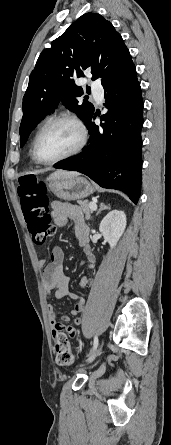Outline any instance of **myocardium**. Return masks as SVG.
Wrapping results in <instances>:
<instances>
[{"mask_svg": "<svg viewBox=\"0 0 171 445\" xmlns=\"http://www.w3.org/2000/svg\"><path fill=\"white\" fill-rule=\"evenodd\" d=\"M60 122H67V123L74 125L77 128L78 133H79V141H78L77 145L70 152H68L54 160H44L38 154L39 139H40L41 135L43 134V132L50 125L55 124V123H60ZM87 138H88L87 129H86L84 123L77 117L72 116V115H59V116L52 117L42 125V127L39 129V131L37 132V134L35 136L33 146H32L33 158L39 164L54 165L58 162H61L68 158H71V157L77 155L78 153H80L81 150L86 145Z\"/></svg>", "mask_w": 171, "mask_h": 445, "instance_id": "obj_1", "label": "myocardium"}]
</instances>
